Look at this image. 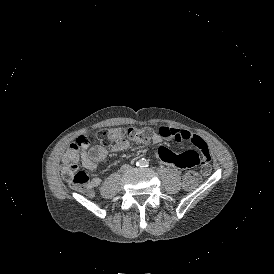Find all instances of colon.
<instances>
[{
	"mask_svg": "<svg viewBox=\"0 0 274 274\" xmlns=\"http://www.w3.org/2000/svg\"><path fill=\"white\" fill-rule=\"evenodd\" d=\"M98 135L104 145H110L116 139L121 138L122 135L129 137L134 142H144L151 137L152 131L146 128L135 127H130L126 131H122V128L111 127L99 131ZM75 138L76 146H69L67 152L65 153V161L62 165V172L75 187L88 188L90 187L89 176L85 171L80 170L77 164L79 148L87 147L88 140L84 133H77ZM201 178V174H198L192 170L184 176L183 183L185 187L193 188L199 184Z\"/></svg>",
	"mask_w": 274,
	"mask_h": 274,
	"instance_id": "obj_1",
	"label": "colon"
}]
</instances>
